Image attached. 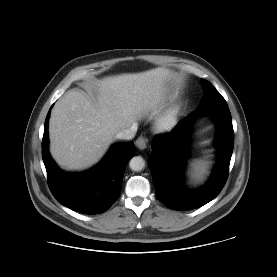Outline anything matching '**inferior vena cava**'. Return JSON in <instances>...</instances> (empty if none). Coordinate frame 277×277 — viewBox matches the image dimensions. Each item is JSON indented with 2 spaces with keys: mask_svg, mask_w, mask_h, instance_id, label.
I'll return each mask as SVG.
<instances>
[{
  "mask_svg": "<svg viewBox=\"0 0 277 277\" xmlns=\"http://www.w3.org/2000/svg\"><path fill=\"white\" fill-rule=\"evenodd\" d=\"M137 131V126L134 124L131 127L124 129L116 134L117 139L130 140L134 137Z\"/></svg>",
  "mask_w": 277,
  "mask_h": 277,
  "instance_id": "obj_1",
  "label": "inferior vena cava"
}]
</instances>
